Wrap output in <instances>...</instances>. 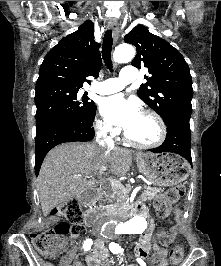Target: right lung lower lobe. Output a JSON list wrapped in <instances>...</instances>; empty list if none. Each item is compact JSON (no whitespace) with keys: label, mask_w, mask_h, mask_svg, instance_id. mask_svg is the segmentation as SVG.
Segmentation results:
<instances>
[{"label":"right lung lower lobe","mask_w":221,"mask_h":266,"mask_svg":"<svg viewBox=\"0 0 221 266\" xmlns=\"http://www.w3.org/2000/svg\"><path fill=\"white\" fill-rule=\"evenodd\" d=\"M92 124L83 123L80 121L61 120L54 122L36 132V159L35 173H39V169L44 160V157L54 146L74 141H89L95 136Z\"/></svg>","instance_id":"obj_1"}]
</instances>
